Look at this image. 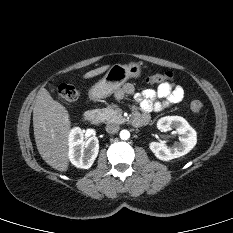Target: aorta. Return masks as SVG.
Wrapping results in <instances>:
<instances>
[{
    "label": "aorta",
    "instance_id": "obj_1",
    "mask_svg": "<svg viewBox=\"0 0 233 233\" xmlns=\"http://www.w3.org/2000/svg\"><path fill=\"white\" fill-rule=\"evenodd\" d=\"M120 138L122 139V140H127V139H129L130 138V132L128 131V130H122L121 132H120Z\"/></svg>",
    "mask_w": 233,
    "mask_h": 233
}]
</instances>
